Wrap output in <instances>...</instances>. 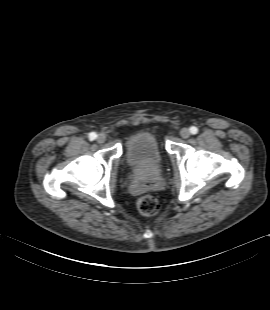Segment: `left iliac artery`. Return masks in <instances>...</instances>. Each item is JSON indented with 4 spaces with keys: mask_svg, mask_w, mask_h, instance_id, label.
Masks as SVG:
<instances>
[{
    "mask_svg": "<svg viewBox=\"0 0 270 310\" xmlns=\"http://www.w3.org/2000/svg\"><path fill=\"white\" fill-rule=\"evenodd\" d=\"M190 132H191L192 134H197L198 128L195 127V126H192V127L190 128Z\"/></svg>",
    "mask_w": 270,
    "mask_h": 310,
    "instance_id": "1",
    "label": "left iliac artery"
}]
</instances>
